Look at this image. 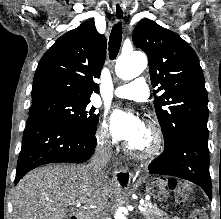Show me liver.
<instances>
[{"label": "liver", "instance_id": "obj_1", "mask_svg": "<svg viewBox=\"0 0 221 219\" xmlns=\"http://www.w3.org/2000/svg\"><path fill=\"white\" fill-rule=\"evenodd\" d=\"M110 191L107 177H96L90 164L41 167L16 186L13 219H66L78 202L106 214Z\"/></svg>", "mask_w": 221, "mask_h": 219}]
</instances>
